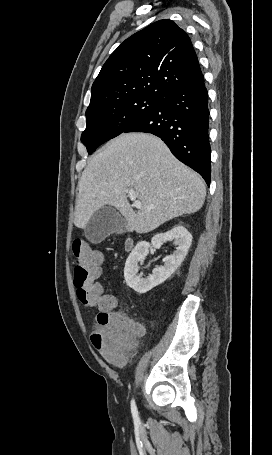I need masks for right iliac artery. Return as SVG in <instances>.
<instances>
[{"label": "right iliac artery", "instance_id": "obj_1", "mask_svg": "<svg viewBox=\"0 0 272 455\" xmlns=\"http://www.w3.org/2000/svg\"><path fill=\"white\" fill-rule=\"evenodd\" d=\"M131 412H132L134 421H138L139 420L138 411H137V407H136L134 400L131 401Z\"/></svg>", "mask_w": 272, "mask_h": 455}]
</instances>
